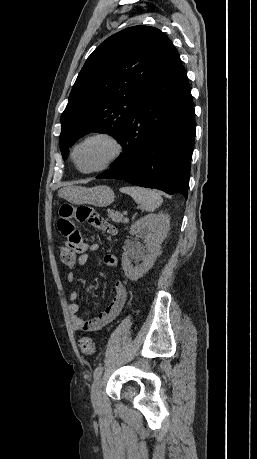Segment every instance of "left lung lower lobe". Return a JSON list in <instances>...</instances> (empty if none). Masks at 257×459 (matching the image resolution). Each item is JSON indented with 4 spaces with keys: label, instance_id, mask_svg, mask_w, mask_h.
Masks as SVG:
<instances>
[{
    "label": "left lung lower lobe",
    "instance_id": "0a47b994",
    "mask_svg": "<svg viewBox=\"0 0 257 459\" xmlns=\"http://www.w3.org/2000/svg\"><path fill=\"white\" fill-rule=\"evenodd\" d=\"M194 137L190 86L174 48L139 95L120 139L123 154L97 178L125 180L187 198Z\"/></svg>",
    "mask_w": 257,
    "mask_h": 459
}]
</instances>
